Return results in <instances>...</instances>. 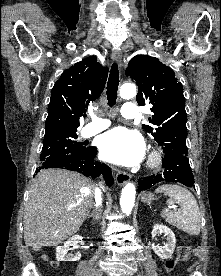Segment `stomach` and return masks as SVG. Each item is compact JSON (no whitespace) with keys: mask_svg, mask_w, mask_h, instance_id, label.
Here are the masks:
<instances>
[{"mask_svg":"<svg viewBox=\"0 0 221 276\" xmlns=\"http://www.w3.org/2000/svg\"><path fill=\"white\" fill-rule=\"evenodd\" d=\"M153 198H154V196L151 193H145L142 196L141 200L144 203H150L153 200Z\"/></svg>","mask_w":221,"mask_h":276,"instance_id":"stomach-1","label":"stomach"}]
</instances>
